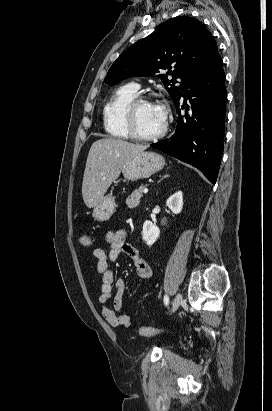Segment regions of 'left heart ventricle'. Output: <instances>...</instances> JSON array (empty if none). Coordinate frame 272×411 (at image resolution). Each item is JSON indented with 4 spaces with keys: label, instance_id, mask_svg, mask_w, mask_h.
<instances>
[{
    "label": "left heart ventricle",
    "instance_id": "1",
    "mask_svg": "<svg viewBox=\"0 0 272 411\" xmlns=\"http://www.w3.org/2000/svg\"><path fill=\"white\" fill-rule=\"evenodd\" d=\"M135 125L139 133L153 135L163 126V113L154 103H142L136 110Z\"/></svg>",
    "mask_w": 272,
    "mask_h": 411
}]
</instances>
